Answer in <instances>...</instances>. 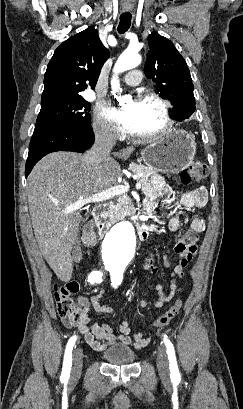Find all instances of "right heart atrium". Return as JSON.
I'll return each mask as SVG.
<instances>
[{
  "mask_svg": "<svg viewBox=\"0 0 243 409\" xmlns=\"http://www.w3.org/2000/svg\"><path fill=\"white\" fill-rule=\"evenodd\" d=\"M92 129L95 137L102 142L112 143L118 137L113 126L104 118L99 110L94 116Z\"/></svg>",
  "mask_w": 243,
  "mask_h": 409,
  "instance_id": "d8ad5b80",
  "label": "right heart atrium"
}]
</instances>
